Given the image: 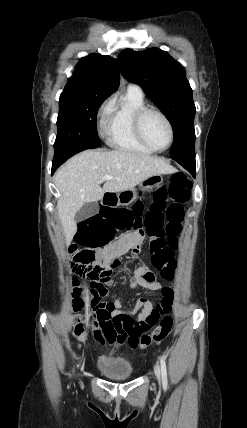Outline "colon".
Instances as JSON below:
<instances>
[{
	"label": "colon",
	"mask_w": 247,
	"mask_h": 428,
	"mask_svg": "<svg viewBox=\"0 0 247 428\" xmlns=\"http://www.w3.org/2000/svg\"><path fill=\"white\" fill-rule=\"evenodd\" d=\"M191 181L183 173L174 174L168 187H162L156 191L153 204L144 205L142 215L141 202L135 208L127 210L120 208V204H103V212H92L90 217L80 226L74 241L84 245L80 249L74 246L71 250L77 271L85 276L92 285V293L96 297V303L92 304L94 313L91 326L97 339L103 338L108 343L122 344L127 342L132 348H145L153 343L165 339L173 326L170 316L164 317L158 326L160 315H168L172 300L157 299L153 307L152 318L111 317L108 304L101 300L106 292V285L111 279L112 271L119 266L120 261L106 263L102 261L100 254L95 251L98 246L106 242L102 239H120V232H130V226L135 230L146 234L149 239V251L152 265L159 270L160 275L167 281H172L175 276L176 261L174 250L178 245V236L182 231L184 219V205L190 198ZM128 207L127 205L125 206ZM151 300H132V305H146L151 307ZM82 301L74 302L75 311H80ZM75 334H86L79 316H76ZM154 328V330H153ZM153 330L151 334H141Z\"/></svg>",
	"instance_id": "colon-1"
}]
</instances>
